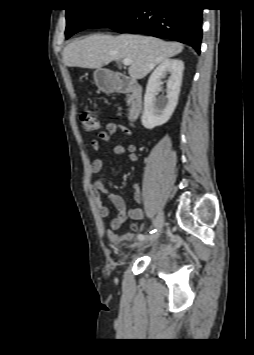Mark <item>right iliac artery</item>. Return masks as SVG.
<instances>
[{"instance_id": "right-iliac-artery-1", "label": "right iliac artery", "mask_w": 254, "mask_h": 355, "mask_svg": "<svg viewBox=\"0 0 254 355\" xmlns=\"http://www.w3.org/2000/svg\"><path fill=\"white\" fill-rule=\"evenodd\" d=\"M156 231H157V230L154 229V230H151L149 233H150V234H153V233H155ZM138 239H139L140 241H143V240L146 239V236L143 235V234H139V235H138Z\"/></svg>"}]
</instances>
